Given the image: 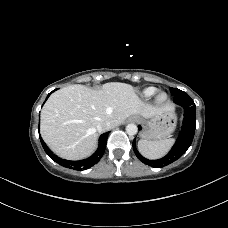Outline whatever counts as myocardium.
<instances>
[{"label": "myocardium", "instance_id": "f54148a6", "mask_svg": "<svg viewBox=\"0 0 228 228\" xmlns=\"http://www.w3.org/2000/svg\"><path fill=\"white\" fill-rule=\"evenodd\" d=\"M168 101V95L167 93L163 91H159L155 95V103L158 105L165 104Z\"/></svg>", "mask_w": 228, "mask_h": 228}]
</instances>
